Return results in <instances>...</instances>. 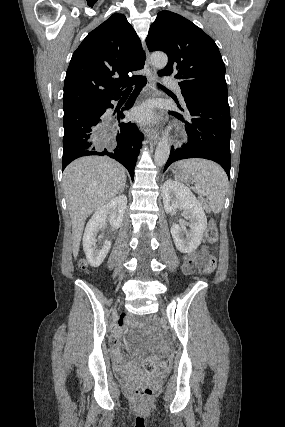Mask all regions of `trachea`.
<instances>
[{
	"mask_svg": "<svg viewBox=\"0 0 285 427\" xmlns=\"http://www.w3.org/2000/svg\"><path fill=\"white\" fill-rule=\"evenodd\" d=\"M158 87H160V88H164L162 85H159V84H158ZM131 89H132V88H130L129 90H131Z\"/></svg>",
	"mask_w": 285,
	"mask_h": 427,
	"instance_id": "3493384b",
	"label": "trachea"
}]
</instances>
